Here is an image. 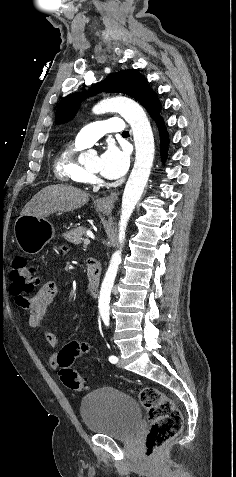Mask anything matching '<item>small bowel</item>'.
I'll return each mask as SVG.
<instances>
[{
    "label": "small bowel",
    "mask_w": 236,
    "mask_h": 477,
    "mask_svg": "<svg viewBox=\"0 0 236 477\" xmlns=\"http://www.w3.org/2000/svg\"><path fill=\"white\" fill-rule=\"evenodd\" d=\"M57 290V283L55 281H47L40 287L34 296L31 298H23L19 305L28 312L29 326L41 329L45 340L51 345H57L58 338L52 330L43 326V317L47 308L53 302ZM89 293L91 296L94 295V291L91 288L89 289ZM48 363L51 367H57L58 363L56 354H52L49 357Z\"/></svg>",
    "instance_id": "1"
}]
</instances>
